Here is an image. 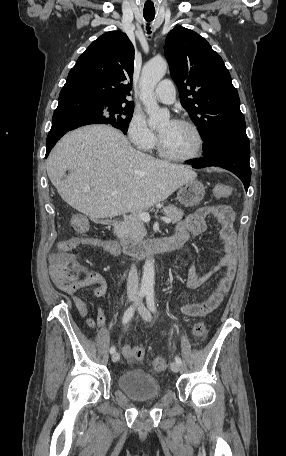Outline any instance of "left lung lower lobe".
Masks as SVG:
<instances>
[{
	"label": "left lung lower lobe",
	"mask_w": 286,
	"mask_h": 456,
	"mask_svg": "<svg viewBox=\"0 0 286 456\" xmlns=\"http://www.w3.org/2000/svg\"><path fill=\"white\" fill-rule=\"evenodd\" d=\"M205 157L197 162H191L193 168L219 166L237 175L248 190L251 180L249 164V139L237 136H225L215 139L203 147Z\"/></svg>",
	"instance_id": "left-lung-lower-lobe-1"
}]
</instances>
